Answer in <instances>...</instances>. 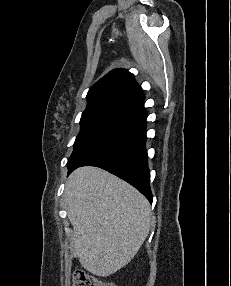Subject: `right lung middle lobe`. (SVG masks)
Instances as JSON below:
<instances>
[{"instance_id":"obj_1","label":"right lung middle lobe","mask_w":231,"mask_h":286,"mask_svg":"<svg viewBox=\"0 0 231 286\" xmlns=\"http://www.w3.org/2000/svg\"><path fill=\"white\" fill-rule=\"evenodd\" d=\"M136 115L135 110L113 104L87 107L82 114L81 131L75 140L68 164L77 161L94 144Z\"/></svg>"}]
</instances>
